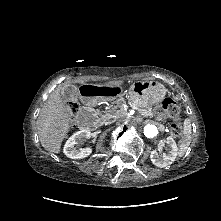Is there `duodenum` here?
I'll return each instance as SVG.
<instances>
[{
	"mask_svg": "<svg viewBox=\"0 0 221 221\" xmlns=\"http://www.w3.org/2000/svg\"><path fill=\"white\" fill-rule=\"evenodd\" d=\"M121 93V88L118 86H105L102 85H82L78 89V96L85 101L87 105H93L99 102H110ZM95 115L89 110H84L78 116V124L82 130H89L95 123Z\"/></svg>",
	"mask_w": 221,
	"mask_h": 221,
	"instance_id": "obj_1",
	"label": "duodenum"
}]
</instances>
